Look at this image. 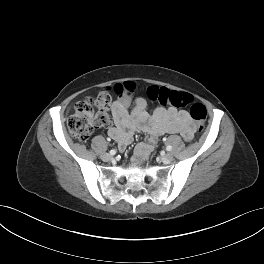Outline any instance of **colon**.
I'll use <instances>...</instances> for the list:
<instances>
[{"instance_id": "1", "label": "colon", "mask_w": 264, "mask_h": 264, "mask_svg": "<svg viewBox=\"0 0 264 264\" xmlns=\"http://www.w3.org/2000/svg\"><path fill=\"white\" fill-rule=\"evenodd\" d=\"M110 91L116 98L127 100L133 92V85L130 82L120 83ZM147 95L153 103L162 106L177 109L190 106L191 118L200 131L204 129L207 116L206 107L198 102L193 103L190 94L154 85L148 88ZM111 101V94L107 91L98 93L94 98L87 97L80 101L67 123L70 134L80 141L88 140L96 128L105 126L109 122Z\"/></svg>"}]
</instances>
